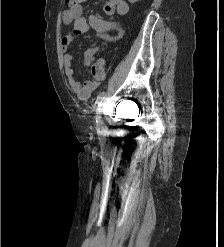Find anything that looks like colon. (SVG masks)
<instances>
[{
    "instance_id": "obj_1",
    "label": "colon",
    "mask_w": 224,
    "mask_h": 247,
    "mask_svg": "<svg viewBox=\"0 0 224 247\" xmlns=\"http://www.w3.org/2000/svg\"><path fill=\"white\" fill-rule=\"evenodd\" d=\"M86 0H65L68 8H74L82 5ZM91 74L97 80L101 79L105 74V64L102 59L96 61L91 67Z\"/></svg>"
}]
</instances>
